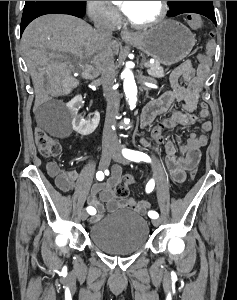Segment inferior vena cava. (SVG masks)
Segmentation results:
<instances>
[{
	"label": "inferior vena cava",
	"mask_w": 237,
	"mask_h": 300,
	"mask_svg": "<svg viewBox=\"0 0 237 300\" xmlns=\"http://www.w3.org/2000/svg\"><path fill=\"white\" fill-rule=\"evenodd\" d=\"M93 21L96 33L99 37V45L101 49L100 57L102 61L101 75L104 97L107 101V111L105 119V127L103 131V141L108 139H116L113 127L115 117L118 115L120 107V95L116 89H113L115 77L117 75L114 65V53L111 49V39L113 31L116 29V23L110 19L109 11H106L105 5H97L93 9Z\"/></svg>",
	"instance_id": "inferior-vena-cava-1"
}]
</instances>
